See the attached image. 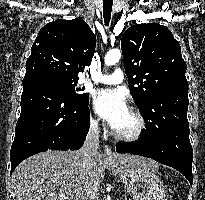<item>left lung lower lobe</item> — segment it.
I'll return each instance as SVG.
<instances>
[{"label": "left lung lower lobe", "instance_id": "0a47b994", "mask_svg": "<svg viewBox=\"0 0 205 200\" xmlns=\"http://www.w3.org/2000/svg\"><path fill=\"white\" fill-rule=\"evenodd\" d=\"M152 106L162 113L152 116L154 124L143 130L134 143H118V153H132L150 157L180 171L192 185L193 149L189 140L187 119L188 89L174 88L157 92ZM154 111V113H156Z\"/></svg>", "mask_w": 205, "mask_h": 200}]
</instances>
